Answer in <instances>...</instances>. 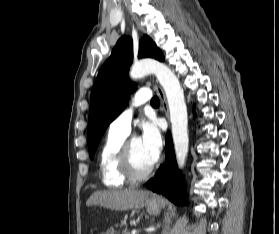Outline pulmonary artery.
Instances as JSON below:
<instances>
[{"mask_svg":"<svg viewBox=\"0 0 279 234\" xmlns=\"http://www.w3.org/2000/svg\"><path fill=\"white\" fill-rule=\"evenodd\" d=\"M151 98L148 90L138 91L132 98L131 105L126 107L110 124V131L128 134L130 131V123L133 116V108L141 105Z\"/></svg>","mask_w":279,"mask_h":234,"instance_id":"e3ab8cb5","label":"pulmonary artery"}]
</instances>
